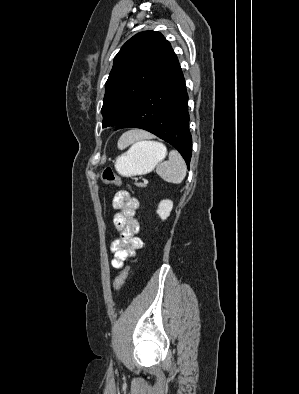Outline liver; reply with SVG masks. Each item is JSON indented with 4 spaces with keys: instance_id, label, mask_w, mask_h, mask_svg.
<instances>
[{
    "instance_id": "obj_1",
    "label": "liver",
    "mask_w": 299,
    "mask_h": 394,
    "mask_svg": "<svg viewBox=\"0 0 299 394\" xmlns=\"http://www.w3.org/2000/svg\"><path fill=\"white\" fill-rule=\"evenodd\" d=\"M149 137V134L145 131H141V130H135V131H130L128 133H126V138L128 140V143H132L135 140H139L142 138H146Z\"/></svg>"
}]
</instances>
